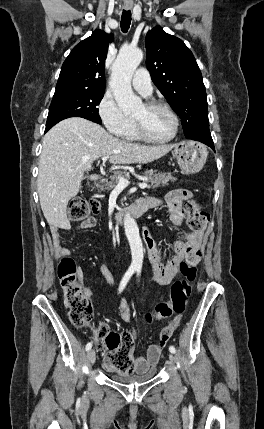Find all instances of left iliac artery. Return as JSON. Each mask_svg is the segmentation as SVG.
<instances>
[{
  "mask_svg": "<svg viewBox=\"0 0 264 429\" xmlns=\"http://www.w3.org/2000/svg\"><path fill=\"white\" fill-rule=\"evenodd\" d=\"M140 272H141V270L140 269H138L137 270V274L139 275L140 274ZM169 351L171 352V353H175L176 352V349H175V347L174 346H170L169 347Z\"/></svg>",
  "mask_w": 264,
  "mask_h": 429,
  "instance_id": "left-iliac-artery-1",
  "label": "left iliac artery"
}]
</instances>
